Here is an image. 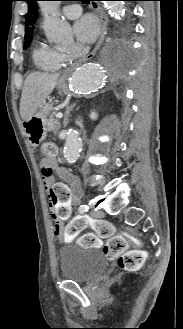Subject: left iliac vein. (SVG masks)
<instances>
[{
    "instance_id": "1",
    "label": "left iliac vein",
    "mask_w": 183,
    "mask_h": 329,
    "mask_svg": "<svg viewBox=\"0 0 183 329\" xmlns=\"http://www.w3.org/2000/svg\"><path fill=\"white\" fill-rule=\"evenodd\" d=\"M90 215L94 218H102L104 216V213L101 210L92 209L90 211Z\"/></svg>"
}]
</instances>
